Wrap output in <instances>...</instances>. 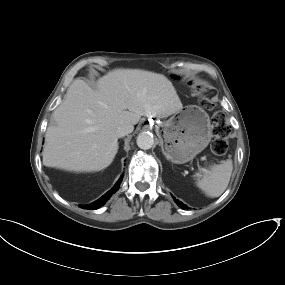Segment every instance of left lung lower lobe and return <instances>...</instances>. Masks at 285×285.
Returning a JSON list of instances; mask_svg holds the SVG:
<instances>
[{"instance_id":"0a47b994","label":"left lung lower lobe","mask_w":285,"mask_h":285,"mask_svg":"<svg viewBox=\"0 0 285 285\" xmlns=\"http://www.w3.org/2000/svg\"><path fill=\"white\" fill-rule=\"evenodd\" d=\"M176 203L181 207V208H185L184 204L179 202L178 200L176 201Z\"/></svg>"}]
</instances>
